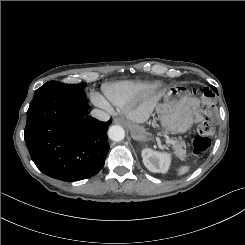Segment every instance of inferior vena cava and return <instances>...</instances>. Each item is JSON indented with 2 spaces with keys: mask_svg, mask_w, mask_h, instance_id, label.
I'll use <instances>...</instances> for the list:
<instances>
[{
  "mask_svg": "<svg viewBox=\"0 0 245 245\" xmlns=\"http://www.w3.org/2000/svg\"><path fill=\"white\" fill-rule=\"evenodd\" d=\"M91 116L100 120V121H108L110 119V116L108 113L102 111V110H99V109H93L91 111Z\"/></svg>",
  "mask_w": 245,
  "mask_h": 245,
  "instance_id": "602c4592",
  "label": "inferior vena cava"
}]
</instances>
